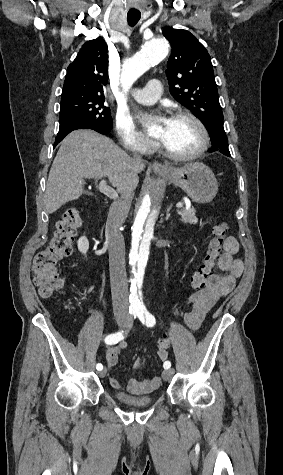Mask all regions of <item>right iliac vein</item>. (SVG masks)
I'll return each mask as SVG.
<instances>
[{
    "mask_svg": "<svg viewBox=\"0 0 283 475\" xmlns=\"http://www.w3.org/2000/svg\"><path fill=\"white\" fill-rule=\"evenodd\" d=\"M117 323H118L119 325H121V326H122V325H126L127 319H126L125 317H118V318H117ZM105 374H106V369H103L101 372H99V376H100V377H104Z\"/></svg>",
    "mask_w": 283,
    "mask_h": 475,
    "instance_id": "1",
    "label": "right iliac vein"
}]
</instances>
